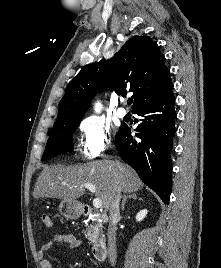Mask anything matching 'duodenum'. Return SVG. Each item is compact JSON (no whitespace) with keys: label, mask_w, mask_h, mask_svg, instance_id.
<instances>
[{"label":"duodenum","mask_w":221,"mask_h":268,"mask_svg":"<svg viewBox=\"0 0 221 268\" xmlns=\"http://www.w3.org/2000/svg\"><path fill=\"white\" fill-rule=\"evenodd\" d=\"M91 210L89 208H85V214L89 215ZM104 221L107 220L106 217H102ZM92 255L97 261L105 260L107 256V246L106 241L104 239L96 240L92 245Z\"/></svg>","instance_id":"obj_1"}]
</instances>
